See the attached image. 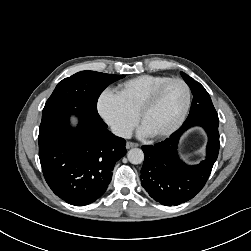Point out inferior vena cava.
Wrapping results in <instances>:
<instances>
[{
  "label": "inferior vena cava",
  "instance_id": "obj_1",
  "mask_svg": "<svg viewBox=\"0 0 251 251\" xmlns=\"http://www.w3.org/2000/svg\"><path fill=\"white\" fill-rule=\"evenodd\" d=\"M111 132L116 136L128 138V139L131 138V135H132L131 131L117 125H114L111 127Z\"/></svg>",
  "mask_w": 251,
  "mask_h": 251
}]
</instances>
